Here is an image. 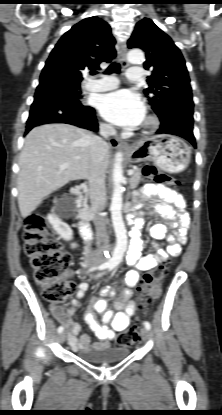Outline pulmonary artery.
I'll return each instance as SVG.
<instances>
[{
  "instance_id": "1",
  "label": "pulmonary artery",
  "mask_w": 222,
  "mask_h": 415,
  "mask_svg": "<svg viewBox=\"0 0 222 415\" xmlns=\"http://www.w3.org/2000/svg\"><path fill=\"white\" fill-rule=\"evenodd\" d=\"M142 69L140 67H131L127 71V79L131 82H138L141 79ZM118 86V81L111 77H104L97 81L86 82L83 86L86 92H103L114 89Z\"/></svg>"
}]
</instances>
